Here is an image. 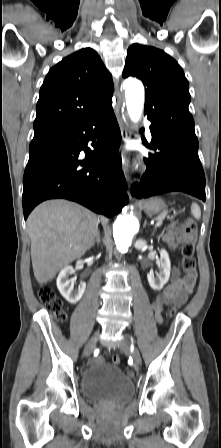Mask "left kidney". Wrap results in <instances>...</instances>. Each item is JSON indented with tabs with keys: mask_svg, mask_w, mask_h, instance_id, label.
I'll use <instances>...</instances> for the list:
<instances>
[{
	"mask_svg": "<svg viewBox=\"0 0 221 448\" xmlns=\"http://www.w3.org/2000/svg\"><path fill=\"white\" fill-rule=\"evenodd\" d=\"M137 249H143L146 246V241L140 239L136 242ZM159 272H156V276L153 272L147 274L149 285L152 289L160 291L163 286L168 282L170 277L171 263L170 258L165 249L160 251V262L158 264Z\"/></svg>",
	"mask_w": 221,
	"mask_h": 448,
	"instance_id": "1",
	"label": "left kidney"
}]
</instances>
